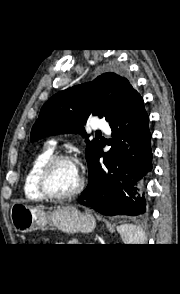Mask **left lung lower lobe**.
Returning a JSON list of instances; mask_svg holds the SVG:
<instances>
[{
  "label": "left lung lower lobe",
  "instance_id": "obj_1",
  "mask_svg": "<svg viewBox=\"0 0 180 294\" xmlns=\"http://www.w3.org/2000/svg\"><path fill=\"white\" fill-rule=\"evenodd\" d=\"M148 122L143 98L137 93L109 123L111 149L103 153L100 146L89 162V183L78 198L81 204L108 216L146 212L142 178L152 169Z\"/></svg>",
  "mask_w": 180,
  "mask_h": 294
}]
</instances>
